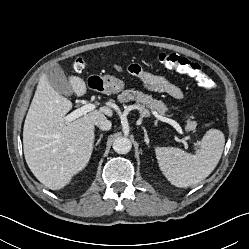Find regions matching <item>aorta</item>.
<instances>
[{
	"mask_svg": "<svg viewBox=\"0 0 249 249\" xmlns=\"http://www.w3.org/2000/svg\"><path fill=\"white\" fill-rule=\"evenodd\" d=\"M131 148V141L127 137H118L113 142V149L118 154H126Z\"/></svg>",
	"mask_w": 249,
	"mask_h": 249,
	"instance_id": "762f6f07",
	"label": "aorta"
}]
</instances>
